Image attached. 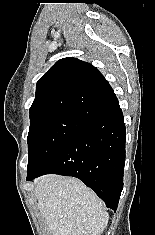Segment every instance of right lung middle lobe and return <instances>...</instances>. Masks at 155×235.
Listing matches in <instances>:
<instances>
[{
    "mask_svg": "<svg viewBox=\"0 0 155 235\" xmlns=\"http://www.w3.org/2000/svg\"><path fill=\"white\" fill-rule=\"evenodd\" d=\"M89 122L71 113L43 110L30 114L27 173L42 168L51 157Z\"/></svg>",
    "mask_w": 155,
    "mask_h": 235,
    "instance_id": "obj_1",
    "label": "right lung middle lobe"
}]
</instances>
